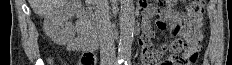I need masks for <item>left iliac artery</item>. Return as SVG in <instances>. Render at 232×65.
Wrapping results in <instances>:
<instances>
[{"mask_svg": "<svg viewBox=\"0 0 232 65\" xmlns=\"http://www.w3.org/2000/svg\"><path fill=\"white\" fill-rule=\"evenodd\" d=\"M130 58L129 57H126L125 58V65H130Z\"/></svg>", "mask_w": 232, "mask_h": 65, "instance_id": "44dca946", "label": "left iliac artery"}]
</instances>
